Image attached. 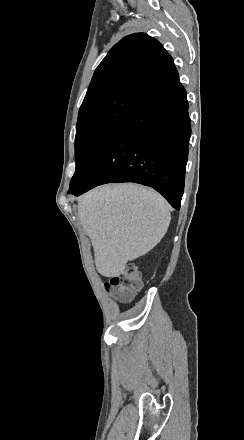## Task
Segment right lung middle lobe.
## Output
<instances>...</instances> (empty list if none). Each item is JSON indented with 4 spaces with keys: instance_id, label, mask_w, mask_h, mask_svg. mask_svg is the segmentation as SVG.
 Listing matches in <instances>:
<instances>
[{
    "instance_id": "dd1d6c3e",
    "label": "right lung middle lobe",
    "mask_w": 244,
    "mask_h": 440,
    "mask_svg": "<svg viewBox=\"0 0 244 440\" xmlns=\"http://www.w3.org/2000/svg\"><path fill=\"white\" fill-rule=\"evenodd\" d=\"M139 99L140 97L120 94L109 100L81 105L75 138L76 171L70 186L81 177L107 136Z\"/></svg>"
}]
</instances>
